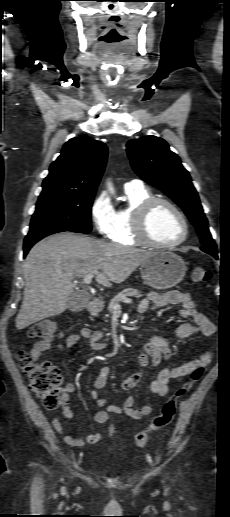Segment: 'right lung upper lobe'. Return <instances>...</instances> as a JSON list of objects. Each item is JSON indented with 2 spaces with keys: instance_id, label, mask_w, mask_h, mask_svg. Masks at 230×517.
<instances>
[{
  "instance_id": "cb5924a9",
  "label": "right lung upper lobe",
  "mask_w": 230,
  "mask_h": 517,
  "mask_svg": "<svg viewBox=\"0 0 230 517\" xmlns=\"http://www.w3.org/2000/svg\"><path fill=\"white\" fill-rule=\"evenodd\" d=\"M104 143L75 137L64 144L61 155L51 164L39 197L95 193L107 160Z\"/></svg>"
}]
</instances>
